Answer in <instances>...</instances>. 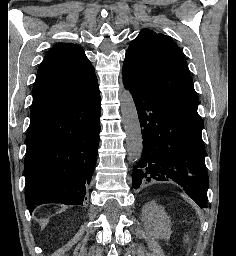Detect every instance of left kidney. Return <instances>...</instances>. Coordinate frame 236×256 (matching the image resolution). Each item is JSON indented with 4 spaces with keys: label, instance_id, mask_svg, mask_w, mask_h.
I'll return each instance as SVG.
<instances>
[{
    "label": "left kidney",
    "instance_id": "5707ae66",
    "mask_svg": "<svg viewBox=\"0 0 236 256\" xmlns=\"http://www.w3.org/2000/svg\"><path fill=\"white\" fill-rule=\"evenodd\" d=\"M142 222L145 228L154 238H162V240H169L172 232L170 228V220L165 212V208L158 206L156 202H148L143 206Z\"/></svg>",
    "mask_w": 236,
    "mask_h": 256
}]
</instances>
